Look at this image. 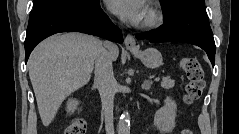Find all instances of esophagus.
<instances>
[{
    "label": "esophagus",
    "instance_id": "esophagus-1",
    "mask_svg": "<svg viewBox=\"0 0 239 134\" xmlns=\"http://www.w3.org/2000/svg\"><path fill=\"white\" fill-rule=\"evenodd\" d=\"M124 43L127 49L136 48V40L131 34H127V36L125 37Z\"/></svg>",
    "mask_w": 239,
    "mask_h": 134
}]
</instances>
